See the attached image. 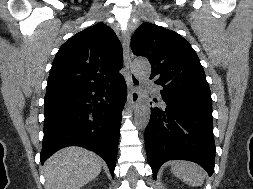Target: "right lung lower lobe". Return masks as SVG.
Segmentation results:
<instances>
[{
	"label": "right lung lower lobe",
	"mask_w": 253,
	"mask_h": 189,
	"mask_svg": "<svg viewBox=\"0 0 253 189\" xmlns=\"http://www.w3.org/2000/svg\"><path fill=\"white\" fill-rule=\"evenodd\" d=\"M126 90L121 75L105 84L46 91L41 163L57 150L77 145L102 157L114 177Z\"/></svg>",
	"instance_id": "1"
}]
</instances>
